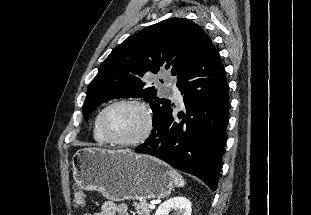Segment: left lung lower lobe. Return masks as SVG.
Listing matches in <instances>:
<instances>
[{"mask_svg":"<svg viewBox=\"0 0 311 215\" xmlns=\"http://www.w3.org/2000/svg\"><path fill=\"white\" fill-rule=\"evenodd\" d=\"M184 111L170 101L153 121L147 140L135 152L155 156L217 189L226 143L229 91L224 66L206 35L199 50L177 75Z\"/></svg>","mask_w":311,"mask_h":215,"instance_id":"0a47b994","label":"left lung lower lobe"}]
</instances>
